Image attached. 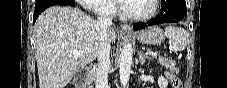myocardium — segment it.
I'll list each match as a JSON object with an SVG mask.
<instances>
[{
	"label": "myocardium",
	"instance_id": "obj_1",
	"mask_svg": "<svg viewBox=\"0 0 227 88\" xmlns=\"http://www.w3.org/2000/svg\"><path fill=\"white\" fill-rule=\"evenodd\" d=\"M126 1H131V0L117 1V11L123 17L133 20V21H147V20L151 19L152 17H154L158 11L159 0H152L153 9L150 13L145 14V15L130 14V13H127L124 9V2H126Z\"/></svg>",
	"mask_w": 227,
	"mask_h": 88
}]
</instances>
